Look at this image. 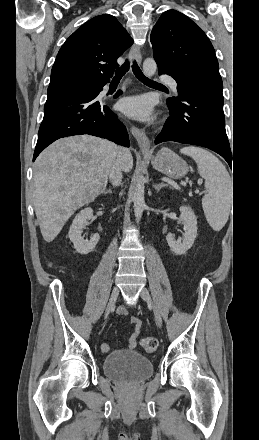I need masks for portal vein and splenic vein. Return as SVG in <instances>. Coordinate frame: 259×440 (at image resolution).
<instances>
[{
  "instance_id": "1",
  "label": "portal vein and splenic vein",
  "mask_w": 259,
  "mask_h": 440,
  "mask_svg": "<svg viewBox=\"0 0 259 440\" xmlns=\"http://www.w3.org/2000/svg\"><path fill=\"white\" fill-rule=\"evenodd\" d=\"M198 183L201 184V183H202V180H199Z\"/></svg>"
}]
</instances>
